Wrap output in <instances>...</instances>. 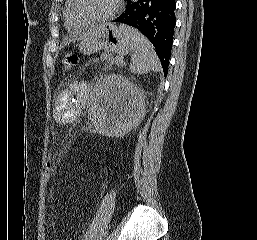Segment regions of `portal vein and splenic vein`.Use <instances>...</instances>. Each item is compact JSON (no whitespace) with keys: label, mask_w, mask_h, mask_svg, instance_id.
I'll use <instances>...</instances> for the list:
<instances>
[{"label":"portal vein and splenic vein","mask_w":257,"mask_h":240,"mask_svg":"<svg viewBox=\"0 0 257 240\" xmlns=\"http://www.w3.org/2000/svg\"><path fill=\"white\" fill-rule=\"evenodd\" d=\"M117 60H118L119 62H120V61L123 62L121 57L117 58Z\"/></svg>","instance_id":"18ae733b"}]
</instances>
